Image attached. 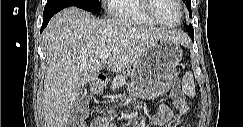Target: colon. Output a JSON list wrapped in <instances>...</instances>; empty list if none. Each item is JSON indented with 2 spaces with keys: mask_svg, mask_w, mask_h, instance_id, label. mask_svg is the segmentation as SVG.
I'll return each instance as SVG.
<instances>
[{
  "mask_svg": "<svg viewBox=\"0 0 243 127\" xmlns=\"http://www.w3.org/2000/svg\"><path fill=\"white\" fill-rule=\"evenodd\" d=\"M173 98L179 99L181 101L184 100L182 92L178 84L174 85L172 92ZM87 116V106L85 104H81L76 107L73 111V114L70 119L71 127H85V119Z\"/></svg>",
  "mask_w": 243,
  "mask_h": 127,
  "instance_id": "5ec220e1",
  "label": "colon"
}]
</instances>
